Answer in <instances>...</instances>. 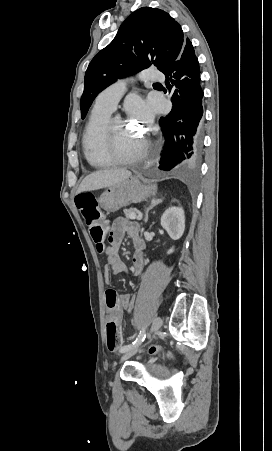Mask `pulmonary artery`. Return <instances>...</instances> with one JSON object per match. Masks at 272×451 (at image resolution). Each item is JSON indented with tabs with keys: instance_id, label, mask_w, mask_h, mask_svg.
<instances>
[{
	"instance_id": "obj_1",
	"label": "pulmonary artery",
	"mask_w": 272,
	"mask_h": 451,
	"mask_svg": "<svg viewBox=\"0 0 272 451\" xmlns=\"http://www.w3.org/2000/svg\"><path fill=\"white\" fill-rule=\"evenodd\" d=\"M163 74L164 73L162 70L156 69L155 66L150 65L146 68V70L140 72L139 76L143 77L142 82L144 84L152 85L154 82L161 81L163 79ZM126 85V80H118L98 95L96 98V104L100 107H106L114 110L115 106L125 93Z\"/></svg>"
}]
</instances>
